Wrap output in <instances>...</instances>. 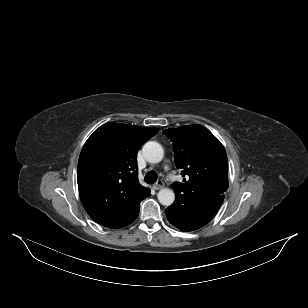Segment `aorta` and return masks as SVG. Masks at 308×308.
Wrapping results in <instances>:
<instances>
[{"mask_svg": "<svg viewBox=\"0 0 308 308\" xmlns=\"http://www.w3.org/2000/svg\"><path fill=\"white\" fill-rule=\"evenodd\" d=\"M143 155L150 163H158L164 157V150L162 146L155 141H149L143 146ZM158 200L164 206H170L175 200V193L169 188H163L158 192Z\"/></svg>", "mask_w": 308, "mask_h": 308, "instance_id": "aorta-1", "label": "aorta"}]
</instances>
